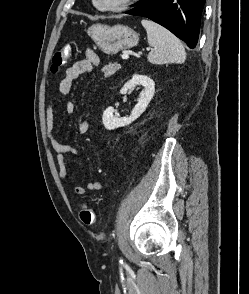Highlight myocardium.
<instances>
[{
	"label": "myocardium",
	"instance_id": "obj_1",
	"mask_svg": "<svg viewBox=\"0 0 249 294\" xmlns=\"http://www.w3.org/2000/svg\"><path fill=\"white\" fill-rule=\"evenodd\" d=\"M94 5L104 12H122L132 6L137 0H122L119 4L113 6L101 5L98 0H92Z\"/></svg>",
	"mask_w": 249,
	"mask_h": 294
}]
</instances>
